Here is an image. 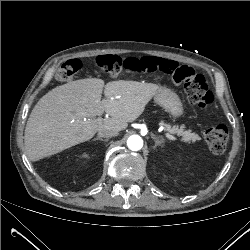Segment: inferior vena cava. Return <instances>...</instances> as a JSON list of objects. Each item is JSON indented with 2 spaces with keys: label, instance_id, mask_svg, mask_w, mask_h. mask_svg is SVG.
Wrapping results in <instances>:
<instances>
[{
  "label": "inferior vena cava",
  "instance_id": "inferior-vena-cava-1",
  "mask_svg": "<svg viewBox=\"0 0 250 250\" xmlns=\"http://www.w3.org/2000/svg\"><path fill=\"white\" fill-rule=\"evenodd\" d=\"M119 131L117 129H101L98 131L99 137H115L118 136Z\"/></svg>",
  "mask_w": 250,
  "mask_h": 250
}]
</instances>
